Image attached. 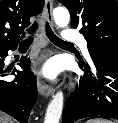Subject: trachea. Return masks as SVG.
<instances>
[{
	"label": "trachea",
	"instance_id": "3493384b",
	"mask_svg": "<svg viewBox=\"0 0 118 123\" xmlns=\"http://www.w3.org/2000/svg\"><path fill=\"white\" fill-rule=\"evenodd\" d=\"M38 25L35 23L31 28H30V33H33L37 29ZM46 34L48 38L51 40L56 45H72V43L66 42L56 36L54 32L51 30L49 24H46ZM33 41V36L28 37L26 40L23 42H32Z\"/></svg>",
	"mask_w": 118,
	"mask_h": 123
}]
</instances>
